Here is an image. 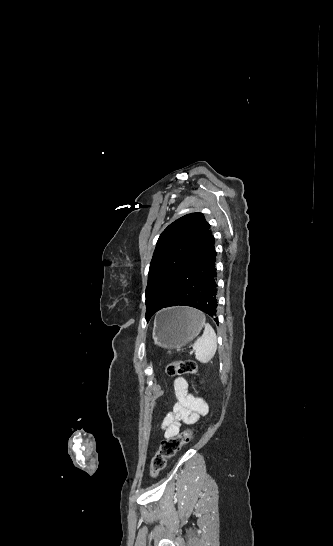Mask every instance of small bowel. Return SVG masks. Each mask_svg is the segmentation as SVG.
<instances>
[{"mask_svg": "<svg viewBox=\"0 0 333 546\" xmlns=\"http://www.w3.org/2000/svg\"><path fill=\"white\" fill-rule=\"evenodd\" d=\"M173 389L176 402L172 410L164 417L161 425L166 438L178 435L182 424H195L201 416L206 415L209 411L206 402L189 392L186 379L177 377L173 382Z\"/></svg>", "mask_w": 333, "mask_h": 546, "instance_id": "small-bowel-1", "label": "small bowel"}]
</instances>
